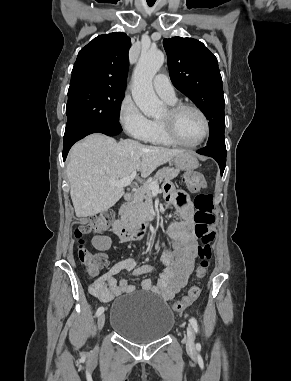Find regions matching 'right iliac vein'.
<instances>
[{"instance_id": "obj_1", "label": "right iliac vein", "mask_w": 291, "mask_h": 381, "mask_svg": "<svg viewBox=\"0 0 291 381\" xmlns=\"http://www.w3.org/2000/svg\"><path fill=\"white\" fill-rule=\"evenodd\" d=\"M104 324H105V315L104 314H101L99 317H98V321H97V327H98V330L101 331L102 328L104 327Z\"/></svg>"}]
</instances>
